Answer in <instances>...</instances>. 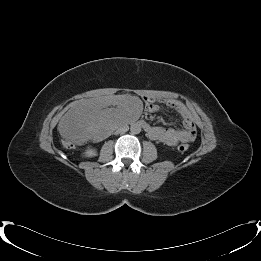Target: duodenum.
Returning <instances> with one entry per match:
<instances>
[{"instance_id":"410a0bca","label":"duodenum","mask_w":261,"mask_h":261,"mask_svg":"<svg viewBox=\"0 0 261 261\" xmlns=\"http://www.w3.org/2000/svg\"><path fill=\"white\" fill-rule=\"evenodd\" d=\"M138 123L143 127L145 131L149 132L151 130V127L145 121L141 120Z\"/></svg>"}]
</instances>
